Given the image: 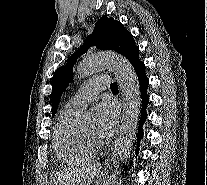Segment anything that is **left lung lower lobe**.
I'll list each match as a JSON object with an SVG mask.
<instances>
[{
    "mask_svg": "<svg viewBox=\"0 0 207 185\" xmlns=\"http://www.w3.org/2000/svg\"><path fill=\"white\" fill-rule=\"evenodd\" d=\"M145 66L144 64H140L137 68H135L138 80H139V85H140V90H141V98H142V108H141V118H140V123H139V130H138V139H137V144L139 146L140 140L143 137V130L142 126L144 122L147 119V114H146V106L149 102V98L147 95V86H148V78L145 73ZM139 148H137L138 150ZM138 153V151H137Z\"/></svg>",
    "mask_w": 207,
    "mask_h": 185,
    "instance_id": "left-lung-lower-lobe-1",
    "label": "left lung lower lobe"
}]
</instances>
